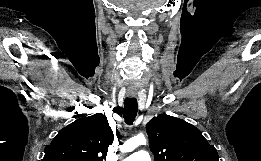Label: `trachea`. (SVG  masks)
Wrapping results in <instances>:
<instances>
[{"instance_id": "3493384b", "label": "trachea", "mask_w": 261, "mask_h": 161, "mask_svg": "<svg viewBox=\"0 0 261 161\" xmlns=\"http://www.w3.org/2000/svg\"><path fill=\"white\" fill-rule=\"evenodd\" d=\"M138 111V104L136 98H126L124 101V110L123 115L125 119V123L127 125H132Z\"/></svg>"}]
</instances>
